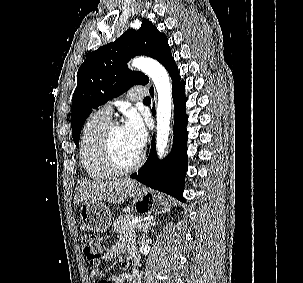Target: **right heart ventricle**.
<instances>
[{"instance_id": "e07e8e85", "label": "right heart ventricle", "mask_w": 303, "mask_h": 283, "mask_svg": "<svg viewBox=\"0 0 303 283\" xmlns=\"http://www.w3.org/2000/svg\"><path fill=\"white\" fill-rule=\"evenodd\" d=\"M110 121V117L97 110L88 117L82 128L79 146L80 163L85 174L94 181L105 180L112 175L102 165L98 153L100 137Z\"/></svg>"}]
</instances>
